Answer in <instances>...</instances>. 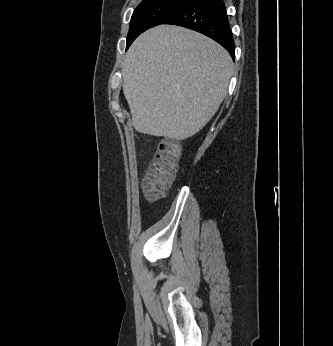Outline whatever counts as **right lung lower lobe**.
<instances>
[{"instance_id":"1","label":"right lung lower lobe","mask_w":333,"mask_h":346,"mask_svg":"<svg viewBox=\"0 0 333 346\" xmlns=\"http://www.w3.org/2000/svg\"><path fill=\"white\" fill-rule=\"evenodd\" d=\"M163 24L183 26L221 44L234 59L235 45L223 0H186Z\"/></svg>"}]
</instances>
